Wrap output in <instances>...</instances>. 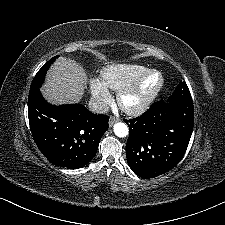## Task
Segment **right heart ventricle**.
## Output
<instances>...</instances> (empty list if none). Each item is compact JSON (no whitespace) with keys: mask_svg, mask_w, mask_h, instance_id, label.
<instances>
[{"mask_svg":"<svg viewBox=\"0 0 225 225\" xmlns=\"http://www.w3.org/2000/svg\"><path fill=\"white\" fill-rule=\"evenodd\" d=\"M146 68L137 64H111L101 71L103 83L110 89L120 92L131 85Z\"/></svg>","mask_w":225,"mask_h":225,"instance_id":"obj_1","label":"right heart ventricle"}]
</instances>
